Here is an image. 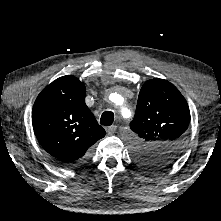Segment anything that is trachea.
Masks as SVG:
<instances>
[{
  "instance_id": "1",
  "label": "trachea",
  "mask_w": 221,
  "mask_h": 221,
  "mask_svg": "<svg viewBox=\"0 0 221 221\" xmlns=\"http://www.w3.org/2000/svg\"><path fill=\"white\" fill-rule=\"evenodd\" d=\"M114 121V114L111 111H105L103 112V114L101 115L100 118V123L104 126H110L112 125Z\"/></svg>"
}]
</instances>
